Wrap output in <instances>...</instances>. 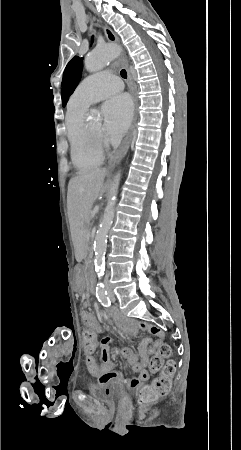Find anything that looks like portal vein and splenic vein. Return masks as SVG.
<instances>
[{
	"label": "portal vein and splenic vein",
	"mask_w": 241,
	"mask_h": 450,
	"mask_svg": "<svg viewBox=\"0 0 241 450\" xmlns=\"http://www.w3.org/2000/svg\"><path fill=\"white\" fill-rule=\"evenodd\" d=\"M88 236H91V233H88Z\"/></svg>",
	"instance_id": "1"
}]
</instances>
